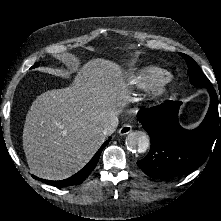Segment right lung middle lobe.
Wrapping results in <instances>:
<instances>
[{
  "label": "right lung middle lobe",
  "mask_w": 221,
  "mask_h": 221,
  "mask_svg": "<svg viewBox=\"0 0 221 221\" xmlns=\"http://www.w3.org/2000/svg\"><path fill=\"white\" fill-rule=\"evenodd\" d=\"M38 66V63L37 64H35L34 66H32L31 68H35V67H37Z\"/></svg>",
  "instance_id": "dd1d6c3e"
}]
</instances>
